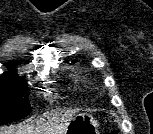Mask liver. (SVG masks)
I'll use <instances>...</instances> for the list:
<instances>
[{
	"label": "liver",
	"mask_w": 153,
	"mask_h": 134,
	"mask_svg": "<svg viewBox=\"0 0 153 134\" xmlns=\"http://www.w3.org/2000/svg\"><path fill=\"white\" fill-rule=\"evenodd\" d=\"M76 110H65L61 112H52L49 114L54 122H36L31 125H18L16 127L1 128L0 134H40L46 132L47 134H63L75 115ZM49 116H47L49 118Z\"/></svg>",
	"instance_id": "obj_1"
}]
</instances>
